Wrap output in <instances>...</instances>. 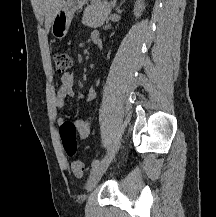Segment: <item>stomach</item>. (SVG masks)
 I'll return each mask as SVG.
<instances>
[{
    "instance_id": "0dacf381",
    "label": "stomach",
    "mask_w": 216,
    "mask_h": 217,
    "mask_svg": "<svg viewBox=\"0 0 216 217\" xmlns=\"http://www.w3.org/2000/svg\"><path fill=\"white\" fill-rule=\"evenodd\" d=\"M89 1L95 0H64L54 15L51 25L52 35L57 39H63L68 32L74 13L82 9Z\"/></svg>"
}]
</instances>
